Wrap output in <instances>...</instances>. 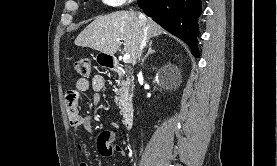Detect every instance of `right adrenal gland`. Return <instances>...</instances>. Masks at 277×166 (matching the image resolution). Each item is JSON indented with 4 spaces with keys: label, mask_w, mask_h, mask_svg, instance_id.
<instances>
[{
    "label": "right adrenal gland",
    "mask_w": 277,
    "mask_h": 166,
    "mask_svg": "<svg viewBox=\"0 0 277 166\" xmlns=\"http://www.w3.org/2000/svg\"><path fill=\"white\" fill-rule=\"evenodd\" d=\"M153 53H155V51L152 49L151 43H150V44H149L148 53L144 56V58L142 59V62H144L145 59H146L150 54H153Z\"/></svg>",
    "instance_id": "obj_1"
}]
</instances>
